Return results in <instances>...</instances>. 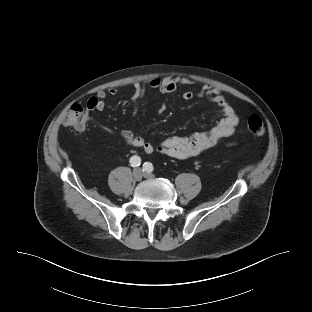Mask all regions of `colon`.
Instances as JSON below:
<instances>
[{"label":"colon","mask_w":312,"mask_h":312,"mask_svg":"<svg viewBox=\"0 0 312 312\" xmlns=\"http://www.w3.org/2000/svg\"><path fill=\"white\" fill-rule=\"evenodd\" d=\"M89 112L87 108L80 104L74 103L68 109L63 125L73 130H83L87 124ZM247 129L251 136L260 137L264 134L265 128L262 119L257 116H251L247 121Z\"/></svg>","instance_id":"5ec220e1"}]
</instances>
